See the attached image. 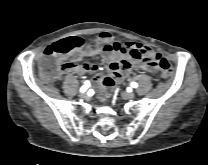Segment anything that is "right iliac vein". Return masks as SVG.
<instances>
[{"label":"right iliac vein","instance_id":"right-iliac-vein-1","mask_svg":"<svg viewBox=\"0 0 208 165\" xmlns=\"http://www.w3.org/2000/svg\"><path fill=\"white\" fill-rule=\"evenodd\" d=\"M80 96H81L82 98H85V97H87V93H86V92H82V93L80 94Z\"/></svg>","mask_w":208,"mask_h":165}]
</instances>
